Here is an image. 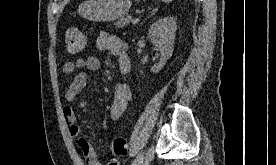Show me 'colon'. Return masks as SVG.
<instances>
[{
  "label": "colon",
  "mask_w": 276,
  "mask_h": 165,
  "mask_svg": "<svg viewBox=\"0 0 276 165\" xmlns=\"http://www.w3.org/2000/svg\"><path fill=\"white\" fill-rule=\"evenodd\" d=\"M65 46L69 53L77 54L86 47V38L77 28H68L65 32ZM111 152L115 156H124L127 154V141L123 137H116L110 145Z\"/></svg>",
  "instance_id": "obj_1"
}]
</instances>
